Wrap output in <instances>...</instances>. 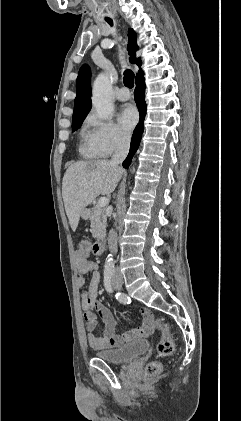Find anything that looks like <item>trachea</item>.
I'll return each instance as SVG.
<instances>
[{"instance_id": "obj_1", "label": "trachea", "mask_w": 241, "mask_h": 421, "mask_svg": "<svg viewBox=\"0 0 241 421\" xmlns=\"http://www.w3.org/2000/svg\"><path fill=\"white\" fill-rule=\"evenodd\" d=\"M110 25L112 24V20L107 19L106 20ZM124 85L128 88L134 87V73L131 70H125L124 71V77H123Z\"/></svg>"}]
</instances>
